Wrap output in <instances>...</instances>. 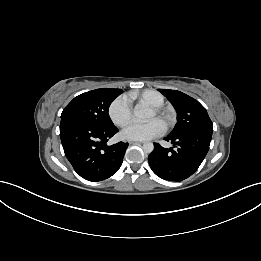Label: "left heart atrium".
<instances>
[{"mask_svg": "<svg viewBox=\"0 0 261 261\" xmlns=\"http://www.w3.org/2000/svg\"><path fill=\"white\" fill-rule=\"evenodd\" d=\"M164 124L159 119H151L145 123L133 122L122 131V136L128 140L144 141L164 132Z\"/></svg>", "mask_w": 261, "mask_h": 261, "instance_id": "39dd6f15", "label": "left heart atrium"}]
</instances>
